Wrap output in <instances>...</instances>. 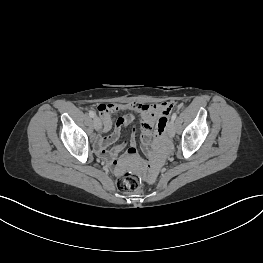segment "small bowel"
Returning a JSON list of instances; mask_svg holds the SVG:
<instances>
[{"mask_svg":"<svg viewBox=\"0 0 263 263\" xmlns=\"http://www.w3.org/2000/svg\"><path fill=\"white\" fill-rule=\"evenodd\" d=\"M166 110L163 113H140L141 116V134L140 142L143 151L150 156L142 160L137 153V140L135 134L125 142L118 143L123 127H127L133 121V115H125L119 117L114 124L111 115H100L103 122V132H112L106 136H98L95 141L97 152L110 160L117 168H123L127 165L136 166L139 174H146L144 181L152 184L155 176L159 172V168L163 164V144L165 134L168 132V125L172 121V117L180 109V104L174 99H169L166 103ZM125 154L118 158L119 153L126 148ZM151 147V148H150Z\"/></svg>","mask_w":263,"mask_h":263,"instance_id":"small-bowel-1","label":"small bowel"}]
</instances>
